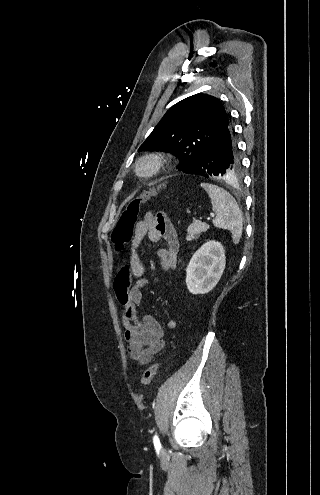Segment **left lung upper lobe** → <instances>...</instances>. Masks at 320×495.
<instances>
[{
    "mask_svg": "<svg viewBox=\"0 0 320 495\" xmlns=\"http://www.w3.org/2000/svg\"><path fill=\"white\" fill-rule=\"evenodd\" d=\"M229 122L222 103L207 94H196L172 106L139 151H164L180 159L183 171Z\"/></svg>",
    "mask_w": 320,
    "mask_h": 495,
    "instance_id": "obj_1",
    "label": "left lung upper lobe"
}]
</instances>
